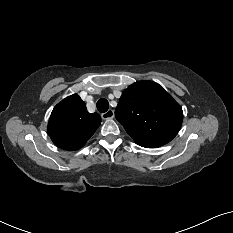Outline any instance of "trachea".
<instances>
[{"instance_id":"trachea-1","label":"trachea","mask_w":233,"mask_h":233,"mask_svg":"<svg viewBox=\"0 0 233 233\" xmlns=\"http://www.w3.org/2000/svg\"><path fill=\"white\" fill-rule=\"evenodd\" d=\"M96 106L99 112L105 113L109 108V102L102 98L98 100Z\"/></svg>"}]
</instances>
